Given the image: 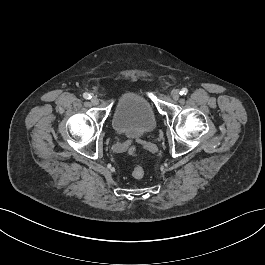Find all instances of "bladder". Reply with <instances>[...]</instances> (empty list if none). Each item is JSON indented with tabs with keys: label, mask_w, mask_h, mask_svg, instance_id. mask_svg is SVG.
Wrapping results in <instances>:
<instances>
[{
	"label": "bladder",
	"mask_w": 265,
	"mask_h": 265,
	"mask_svg": "<svg viewBox=\"0 0 265 265\" xmlns=\"http://www.w3.org/2000/svg\"><path fill=\"white\" fill-rule=\"evenodd\" d=\"M156 127V117L150 102L136 91H127L117 100L113 128L130 138L144 136Z\"/></svg>",
	"instance_id": "bladder-1"
}]
</instances>
